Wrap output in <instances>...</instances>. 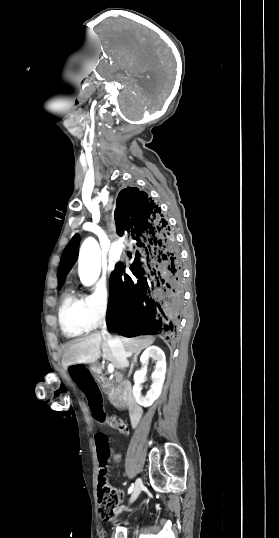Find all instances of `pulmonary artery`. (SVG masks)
<instances>
[{
  "instance_id": "obj_1",
  "label": "pulmonary artery",
  "mask_w": 279,
  "mask_h": 538,
  "mask_svg": "<svg viewBox=\"0 0 279 538\" xmlns=\"http://www.w3.org/2000/svg\"><path fill=\"white\" fill-rule=\"evenodd\" d=\"M114 264H115V260H114V259H109V260L107 261V265H108L109 268H112V267L114 266Z\"/></svg>"
}]
</instances>
